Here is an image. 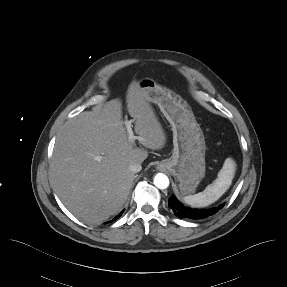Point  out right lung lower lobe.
<instances>
[{
    "instance_id": "obj_1",
    "label": "right lung lower lobe",
    "mask_w": 287,
    "mask_h": 287,
    "mask_svg": "<svg viewBox=\"0 0 287 287\" xmlns=\"http://www.w3.org/2000/svg\"><path fill=\"white\" fill-rule=\"evenodd\" d=\"M123 211L121 213H119L113 220L109 221V222H112V221H115L116 219H118L121 215H122Z\"/></svg>"
}]
</instances>
